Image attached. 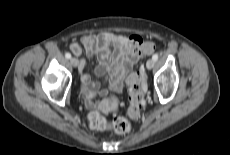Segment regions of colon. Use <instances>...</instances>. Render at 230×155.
<instances>
[{
  "mask_svg": "<svg viewBox=\"0 0 230 155\" xmlns=\"http://www.w3.org/2000/svg\"><path fill=\"white\" fill-rule=\"evenodd\" d=\"M134 45L141 54H150L154 50V44L152 42L143 41L141 38L134 40ZM130 91L129 99L130 105L128 108V114L131 118L136 119L139 117L140 112L144 106V79L141 73H134L129 76L127 80ZM109 106L115 110L118 106V102L115 98L110 99ZM89 125L91 128L104 131L113 130L116 133L124 134L131 130V124L123 117H116L111 123L107 122L99 113L92 112L89 117Z\"/></svg>",
  "mask_w": 230,
  "mask_h": 155,
  "instance_id": "colon-1",
  "label": "colon"
}]
</instances>
